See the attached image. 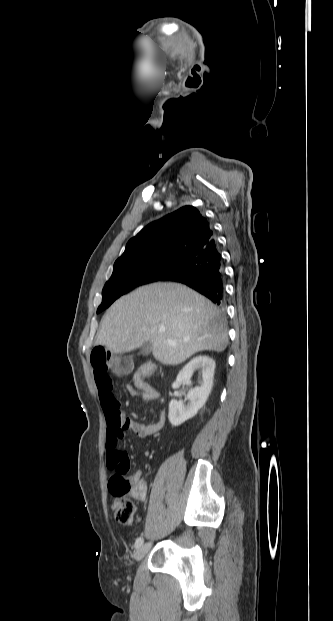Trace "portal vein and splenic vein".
<instances>
[{
	"mask_svg": "<svg viewBox=\"0 0 333 621\" xmlns=\"http://www.w3.org/2000/svg\"><path fill=\"white\" fill-rule=\"evenodd\" d=\"M159 331H160V332H164V331H165V328H164V327H160V328H159ZM170 343H172V342H170Z\"/></svg>",
	"mask_w": 333,
	"mask_h": 621,
	"instance_id": "obj_1",
	"label": "portal vein and splenic vein"
}]
</instances>
